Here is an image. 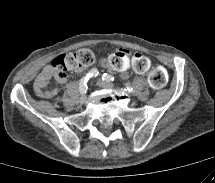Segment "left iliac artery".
<instances>
[{
    "label": "left iliac artery",
    "instance_id": "1",
    "mask_svg": "<svg viewBox=\"0 0 215 183\" xmlns=\"http://www.w3.org/2000/svg\"><path fill=\"white\" fill-rule=\"evenodd\" d=\"M102 80L103 81H114L116 80L115 77H113L112 75L110 74H107V73H104L102 75ZM125 87H126V90L129 92V93H135V91L133 90V88L129 85V84H124Z\"/></svg>",
    "mask_w": 215,
    "mask_h": 183
}]
</instances>
